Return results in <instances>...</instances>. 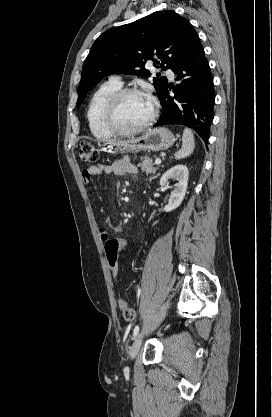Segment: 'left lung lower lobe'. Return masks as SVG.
Masks as SVG:
<instances>
[{
  "mask_svg": "<svg viewBox=\"0 0 272 417\" xmlns=\"http://www.w3.org/2000/svg\"><path fill=\"white\" fill-rule=\"evenodd\" d=\"M172 70L181 83L176 88L167 85L159 97L163 110L154 126L179 124L190 127L207 144L214 116L215 93L203 47L184 58ZM171 89L174 90V97L169 95Z\"/></svg>",
  "mask_w": 272,
  "mask_h": 417,
  "instance_id": "obj_1",
  "label": "left lung lower lobe"
}]
</instances>
